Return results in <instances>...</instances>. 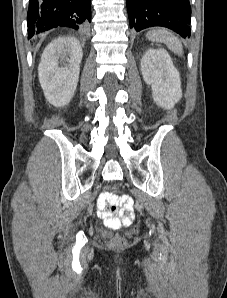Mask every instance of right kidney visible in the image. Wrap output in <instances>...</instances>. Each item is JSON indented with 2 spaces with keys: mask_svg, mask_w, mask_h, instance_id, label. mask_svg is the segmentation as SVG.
I'll return each mask as SVG.
<instances>
[{
  "mask_svg": "<svg viewBox=\"0 0 227 298\" xmlns=\"http://www.w3.org/2000/svg\"><path fill=\"white\" fill-rule=\"evenodd\" d=\"M83 51L74 37H59L44 50L38 67L41 87L48 102L62 107L77 87Z\"/></svg>",
  "mask_w": 227,
  "mask_h": 298,
  "instance_id": "right-kidney-1",
  "label": "right kidney"
}]
</instances>
